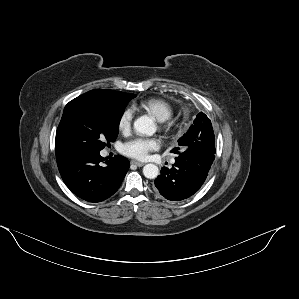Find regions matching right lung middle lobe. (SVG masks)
<instances>
[{
	"label": "right lung middle lobe",
	"mask_w": 299,
	"mask_h": 299,
	"mask_svg": "<svg viewBox=\"0 0 299 299\" xmlns=\"http://www.w3.org/2000/svg\"><path fill=\"white\" fill-rule=\"evenodd\" d=\"M135 96L122 92L111 99H82L68 103L56 133L64 149L72 155L101 151L115 141L124 108Z\"/></svg>",
	"instance_id": "dd1d6c3e"
}]
</instances>
